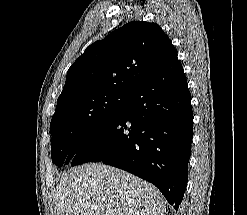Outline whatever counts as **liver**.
<instances>
[{
	"mask_svg": "<svg viewBox=\"0 0 247 215\" xmlns=\"http://www.w3.org/2000/svg\"><path fill=\"white\" fill-rule=\"evenodd\" d=\"M56 215H165L164 198L150 183L101 163L63 173L55 195Z\"/></svg>",
	"mask_w": 247,
	"mask_h": 215,
	"instance_id": "obj_1",
	"label": "liver"
}]
</instances>
